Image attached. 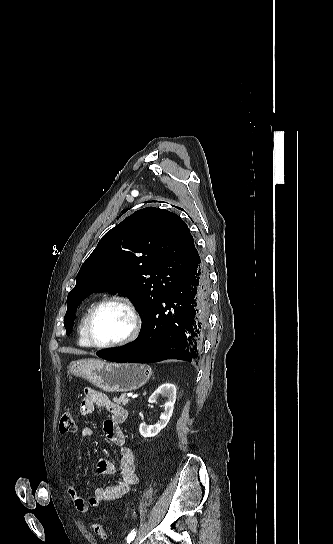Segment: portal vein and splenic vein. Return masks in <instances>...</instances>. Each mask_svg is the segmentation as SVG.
Wrapping results in <instances>:
<instances>
[{"label": "portal vein and splenic vein", "mask_w": 333, "mask_h": 544, "mask_svg": "<svg viewBox=\"0 0 333 544\" xmlns=\"http://www.w3.org/2000/svg\"><path fill=\"white\" fill-rule=\"evenodd\" d=\"M128 397H133L132 393L127 394Z\"/></svg>", "instance_id": "1"}]
</instances>
